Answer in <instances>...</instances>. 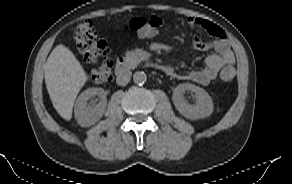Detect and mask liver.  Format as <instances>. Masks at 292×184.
<instances>
[{
	"label": "liver",
	"mask_w": 292,
	"mask_h": 184,
	"mask_svg": "<svg viewBox=\"0 0 292 184\" xmlns=\"http://www.w3.org/2000/svg\"><path fill=\"white\" fill-rule=\"evenodd\" d=\"M45 83L53 107L70 120L75 99L87 81V75L72 51L62 44L50 53L45 65Z\"/></svg>",
	"instance_id": "liver-1"
}]
</instances>
